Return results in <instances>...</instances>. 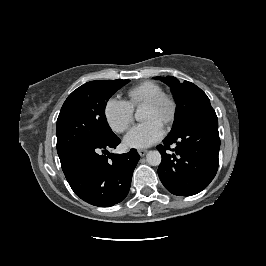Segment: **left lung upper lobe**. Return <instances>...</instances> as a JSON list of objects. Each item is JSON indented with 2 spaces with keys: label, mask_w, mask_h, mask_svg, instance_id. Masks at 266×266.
<instances>
[{
  "label": "left lung upper lobe",
  "mask_w": 266,
  "mask_h": 266,
  "mask_svg": "<svg viewBox=\"0 0 266 266\" xmlns=\"http://www.w3.org/2000/svg\"><path fill=\"white\" fill-rule=\"evenodd\" d=\"M165 82L172 90L177 103L172 130L169 135L179 132L193 119L213 110L207 95L195 84L184 81L180 83L175 77H155Z\"/></svg>",
  "instance_id": "5c2ea615"
}]
</instances>
